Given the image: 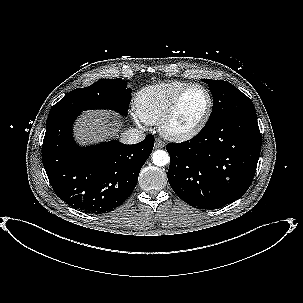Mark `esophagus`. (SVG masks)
<instances>
[{
    "instance_id": "esophagus-1",
    "label": "esophagus",
    "mask_w": 303,
    "mask_h": 303,
    "mask_svg": "<svg viewBox=\"0 0 303 303\" xmlns=\"http://www.w3.org/2000/svg\"><path fill=\"white\" fill-rule=\"evenodd\" d=\"M163 147H165V142L159 138H156L155 143H154V148L159 149V148H163Z\"/></svg>"
}]
</instances>
